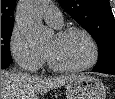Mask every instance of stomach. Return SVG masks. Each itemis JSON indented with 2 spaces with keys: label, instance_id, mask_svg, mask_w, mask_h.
<instances>
[{
  "label": "stomach",
  "instance_id": "stomach-1",
  "mask_svg": "<svg viewBox=\"0 0 115 99\" xmlns=\"http://www.w3.org/2000/svg\"><path fill=\"white\" fill-rule=\"evenodd\" d=\"M66 96L67 99H105L106 89L100 80L79 75L67 83Z\"/></svg>",
  "mask_w": 115,
  "mask_h": 99
}]
</instances>
